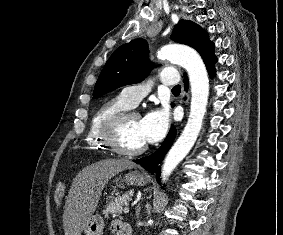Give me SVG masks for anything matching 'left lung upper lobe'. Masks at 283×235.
Instances as JSON below:
<instances>
[{
  "label": "left lung upper lobe",
  "mask_w": 283,
  "mask_h": 235,
  "mask_svg": "<svg viewBox=\"0 0 283 235\" xmlns=\"http://www.w3.org/2000/svg\"><path fill=\"white\" fill-rule=\"evenodd\" d=\"M175 42L193 47L203 58L206 67L214 64V44L207 33L197 24L180 20L171 35ZM148 60V43L144 39H134L117 48L105 64L94 88L96 99L116 88L142 81L152 69Z\"/></svg>",
  "instance_id": "left-lung-upper-lobe-1"
}]
</instances>
